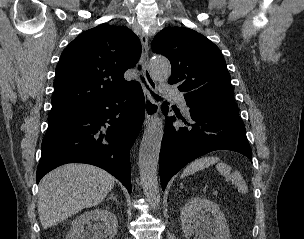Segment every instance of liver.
Returning <instances> with one entry per match:
<instances>
[{"label": "liver", "instance_id": "liver-1", "mask_svg": "<svg viewBox=\"0 0 304 239\" xmlns=\"http://www.w3.org/2000/svg\"><path fill=\"white\" fill-rule=\"evenodd\" d=\"M115 178L88 164H66L45 175L39 183L38 214L44 229L55 226L83 208L101 203Z\"/></svg>", "mask_w": 304, "mask_h": 239}]
</instances>
